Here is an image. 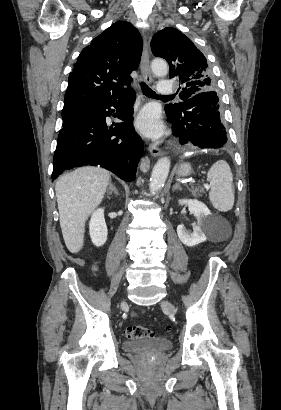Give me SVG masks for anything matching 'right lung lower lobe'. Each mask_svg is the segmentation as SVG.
Returning <instances> with one entry per match:
<instances>
[{"instance_id":"1","label":"right lung lower lobe","mask_w":281,"mask_h":410,"mask_svg":"<svg viewBox=\"0 0 281 410\" xmlns=\"http://www.w3.org/2000/svg\"><path fill=\"white\" fill-rule=\"evenodd\" d=\"M135 92L129 96L104 101L88 113L63 125L53 158L52 179L63 171L83 165L101 166L125 181L135 180L137 164L142 156L143 142L133 127L132 104ZM117 109L123 120L108 128L105 117Z\"/></svg>"}]
</instances>
